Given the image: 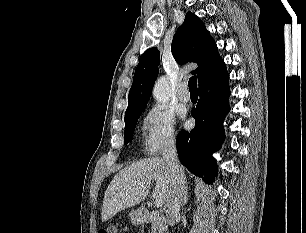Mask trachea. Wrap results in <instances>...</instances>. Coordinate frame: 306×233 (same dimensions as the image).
<instances>
[{
  "instance_id": "3493384b",
  "label": "trachea",
  "mask_w": 306,
  "mask_h": 233,
  "mask_svg": "<svg viewBox=\"0 0 306 233\" xmlns=\"http://www.w3.org/2000/svg\"><path fill=\"white\" fill-rule=\"evenodd\" d=\"M188 86H189L190 92H197V77L196 76H192L189 79Z\"/></svg>"
}]
</instances>
